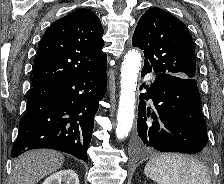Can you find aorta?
Masks as SVG:
<instances>
[{
  "label": "aorta",
  "instance_id": "762f6f07",
  "mask_svg": "<svg viewBox=\"0 0 224 184\" xmlns=\"http://www.w3.org/2000/svg\"><path fill=\"white\" fill-rule=\"evenodd\" d=\"M142 57L137 50H130L124 56L121 67V91L117 114L116 136L123 139L128 136L134 120L135 92Z\"/></svg>",
  "mask_w": 224,
  "mask_h": 184
}]
</instances>
